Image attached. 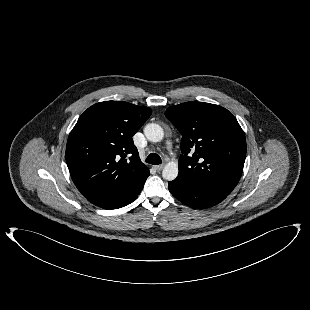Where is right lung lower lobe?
<instances>
[{"instance_id":"obj_1","label":"right lung lower lobe","mask_w":310,"mask_h":310,"mask_svg":"<svg viewBox=\"0 0 310 310\" xmlns=\"http://www.w3.org/2000/svg\"><path fill=\"white\" fill-rule=\"evenodd\" d=\"M143 186L133 196H131V197L125 199V200L99 205L98 207H101V208H104V209H117V208L123 207V206L131 203L132 201H134L137 198V196L141 192Z\"/></svg>"}]
</instances>
